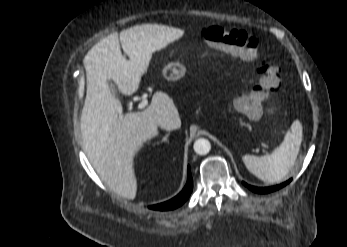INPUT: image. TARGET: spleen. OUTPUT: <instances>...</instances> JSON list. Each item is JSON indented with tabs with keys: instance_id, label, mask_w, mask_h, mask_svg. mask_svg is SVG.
Instances as JSON below:
<instances>
[{
	"instance_id": "1",
	"label": "spleen",
	"mask_w": 347,
	"mask_h": 247,
	"mask_svg": "<svg viewBox=\"0 0 347 247\" xmlns=\"http://www.w3.org/2000/svg\"><path fill=\"white\" fill-rule=\"evenodd\" d=\"M303 128L295 120L286 133L281 145L265 156L244 155L242 160L246 168L257 178L267 183L283 179L293 168L302 142Z\"/></svg>"
}]
</instances>
